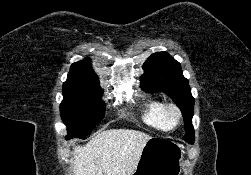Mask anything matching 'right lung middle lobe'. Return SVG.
Here are the masks:
<instances>
[{
	"mask_svg": "<svg viewBox=\"0 0 251 175\" xmlns=\"http://www.w3.org/2000/svg\"><path fill=\"white\" fill-rule=\"evenodd\" d=\"M101 88L63 85L60 114L67 126L66 139L82 138L91 132L105 114Z\"/></svg>",
	"mask_w": 251,
	"mask_h": 175,
	"instance_id": "1",
	"label": "right lung middle lobe"
}]
</instances>
